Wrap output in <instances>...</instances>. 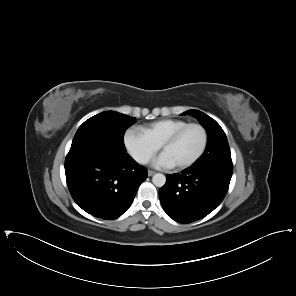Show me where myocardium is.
I'll list each match as a JSON object with an SVG mask.
<instances>
[{
  "label": "myocardium",
  "mask_w": 296,
  "mask_h": 296,
  "mask_svg": "<svg viewBox=\"0 0 296 296\" xmlns=\"http://www.w3.org/2000/svg\"><path fill=\"white\" fill-rule=\"evenodd\" d=\"M192 127H197L202 131L203 142H202L201 148L191 159H189L185 162H182V163L175 164V167H177V168L189 167V166L193 165L194 163H196L203 156V154L206 150V147H207V143H208V135H207L206 129L201 124L189 123L186 126H184L183 128H181L180 130H178L177 132H175L172 136H170L166 140V142L162 145V151L164 152L169 146L174 144L184 134L185 131H187L189 128H192Z\"/></svg>",
  "instance_id": "f54148a6"
}]
</instances>
